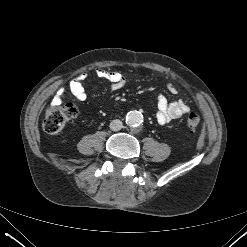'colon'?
Here are the masks:
<instances>
[{
  "label": "colon",
  "mask_w": 247,
  "mask_h": 247,
  "mask_svg": "<svg viewBox=\"0 0 247 247\" xmlns=\"http://www.w3.org/2000/svg\"><path fill=\"white\" fill-rule=\"evenodd\" d=\"M77 115L76 107L71 104H50L45 112L43 128L48 134L60 132L64 126ZM200 124V116L196 112H191L187 118V126L190 131H195Z\"/></svg>",
  "instance_id": "5ec220e1"
}]
</instances>
